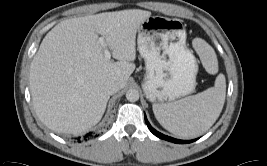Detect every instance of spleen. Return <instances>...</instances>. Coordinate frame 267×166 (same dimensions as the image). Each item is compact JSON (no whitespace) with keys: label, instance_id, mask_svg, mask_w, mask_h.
<instances>
[{"label":"spleen","instance_id":"obj_1","mask_svg":"<svg viewBox=\"0 0 267 166\" xmlns=\"http://www.w3.org/2000/svg\"><path fill=\"white\" fill-rule=\"evenodd\" d=\"M202 59L209 55L217 62L214 51L205 45L199 49ZM226 96V80L223 74H219L214 87L188 96L181 100L167 104H153V112L157 121L163 128L180 137H193L206 132L219 117Z\"/></svg>","mask_w":267,"mask_h":166}]
</instances>
